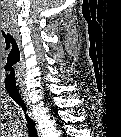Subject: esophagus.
<instances>
[{
    "label": "esophagus",
    "mask_w": 121,
    "mask_h": 137,
    "mask_svg": "<svg viewBox=\"0 0 121 137\" xmlns=\"http://www.w3.org/2000/svg\"><path fill=\"white\" fill-rule=\"evenodd\" d=\"M20 94H21L23 100L29 105L28 97H27V91L24 88H21ZM32 119H33V116H32Z\"/></svg>",
    "instance_id": "obj_1"
}]
</instances>
